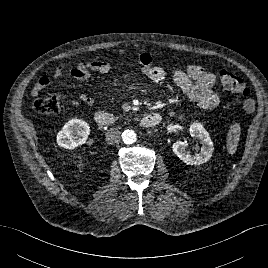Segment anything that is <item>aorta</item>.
Instances as JSON below:
<instances>
[{
	"instance_id": "1",
	"label": "aorta",
	"mask_w": 268,
	"mask_h": 268,
	"mask_svg": "<svg viewBox=\"0 0 268 268\" xmlns=\"http://www.w3.org/2000/svg\"><path fill=\"white\" fill-rule=\"evenodd\" d=\"M122 139L126 144H133L137 140V135L133 130H125L122 134Z\"/></svg>"
}]
</instances>
